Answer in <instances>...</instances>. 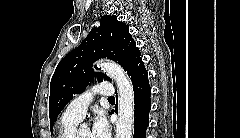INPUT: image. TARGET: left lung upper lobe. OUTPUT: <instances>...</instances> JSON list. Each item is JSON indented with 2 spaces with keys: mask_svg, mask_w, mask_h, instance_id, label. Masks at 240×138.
<instances>
[{
  "mask_svg": "<svg viewBox=\"0 0 240 138\" xmlns=\"http://www.w3.org/2000/svg\"><path fill=\"white\" fill-rule=\"evenodd\" d=\"M140 53L129 33V26L116 16L104 15L98 28H93L82 43L68 53L57 65L50 83V129L73 95L81 93L94 79L92 64L100 58L118 62L125 71ZM98 80L108 79L97 73Z\"/></svg>",
  "mask_w": 240,
  "mask_h": 138,
  "instance_id": "left-lung-upper-lobe-1",
  "label": "left lung upper lobe"
}]
</instances>
